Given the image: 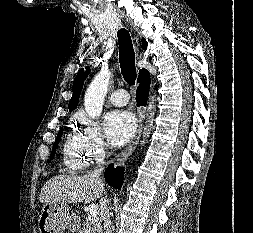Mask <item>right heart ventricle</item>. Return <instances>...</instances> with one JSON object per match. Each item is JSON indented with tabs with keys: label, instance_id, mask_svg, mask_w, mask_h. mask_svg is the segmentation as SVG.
I'll use <instances>...</instances> for the list:
<instances>
[{
	"label": "right heart ventricle",
	"instance_id": "1",
	"mask_svg": "<svg viewBox=\"0 0 253 233\" xmlns=\"http://www.w3.org/2000/svg\"><path fill=\"white\" fill-rule=\"evenodd\" d=\"M89 160L80 136L77 133L69 134L63 146L64 166L73 172H78L88 166Z\"/></svg>",
	"mask_w": 253,
	"mask_h": 233
}]
</instances>
